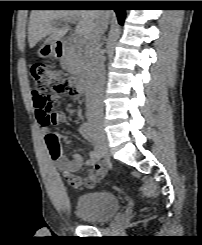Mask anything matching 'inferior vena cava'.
Segmentation results:
<instances>
[{
    "label": "inferior vena cava",
    "mask_w": 202,
    "mask_h": 245,
    "mask_svg": "<svg viewBox=\"0 0 202 245\" xmlns=\"http://www.w3.org/2000/svg\"><path fill=\"white\" fill-rule=\"evenodd\" d=\"M108 27V20L99 18L97 24L88 37L85 47L86 64V109L89 115H102V94L105 82V68L103 53L101 50V39Z\"/></svg>",
    "instance_id": "1"
}]
</instances>
